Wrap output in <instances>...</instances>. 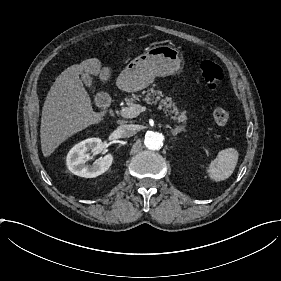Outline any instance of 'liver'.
I'll list each match as a JSON object with an SVG mask.
<instances>
[{"instance_id": "6515ba94", "label": "liver", "mask_w": 281, "mask_h": 281, "mask_svg": "<svg viewBox=\"0 0 281 281\" xmlns=\"http://www.w3.org/2000/svg\"><path fill=\"white\" fill-rule=\"evenodd\" d=\"M83 71L99 76L103 83L111 77L110 68H101L99 59L91 58L68 67L56 78L42 108L40 139L44 157L50 156L72 135L103 119L92 109L79 77Z\"/></svg>"}]
</instances>
